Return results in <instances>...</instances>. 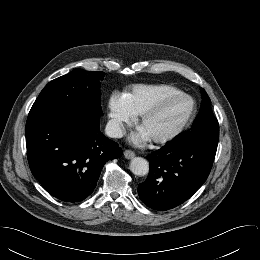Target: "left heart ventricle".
I'll return each instance as SVG.
<instances>
[{
	"mask_svg": "<svg viewBox=\"0 0 260 260\" xmlns=\"http://www.w3.org/2000/svg\"><path fill=\"white\" fill-rule=\"evenodd\" d=\"M189 106V101L184 98L174 99L151 116L142 128L150 137L166 133L181 122Z\"/></svg>",
	"mask_w": 260,
	"mask_h": 260,
	"instance_id": "b2bd125f",
	"label": "left heart ventricle"
}]
</instances>
